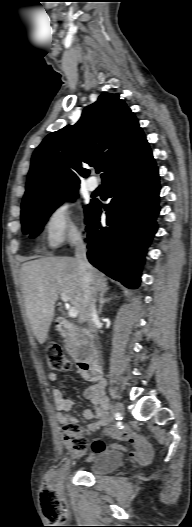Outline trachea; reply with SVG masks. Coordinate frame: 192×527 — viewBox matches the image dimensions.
Returning <instances> with one entry per match:
<instances>
[{
	"instance_id": "3493384b",
	"label": "trachea",
	"mask_w": 192,
	"mask_h": 527,
	"mask_svg": "<svg viewBox=\"0 0 192 527\" xmlns=\"http://www.w3.org/2000/svg\"><path fill=\"white\" fill-rule=\"evenodd\" d=\"M100 170H101L100 168H96V172H97V173H99V172H100Z\"/></svg>"
}]
</instances>
